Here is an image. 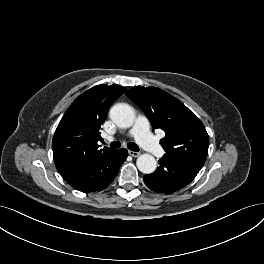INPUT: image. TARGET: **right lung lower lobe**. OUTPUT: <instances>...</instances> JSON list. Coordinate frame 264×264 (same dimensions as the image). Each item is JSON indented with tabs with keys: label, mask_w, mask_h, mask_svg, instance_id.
Listing matches in <instances>:
<instances>
[{
	"label": "right lung lower lobe",
	"mask_w": 264,
	"mask_h": 264,
	"mask_svg": "<svg viewBox=\"0 0 264 264\" xmlns=\"http://www.w3.org/2000/svg\"><path fill=\"white\" fill-rule=\"evenodd\" d=\"M127 156L126 149L112 150L90 165L64 177V179L74 189L81 192L102 191L112 183Z\"/></svg>",
	"instance_id": "1"
}]
</instances>
